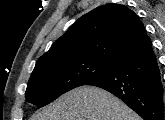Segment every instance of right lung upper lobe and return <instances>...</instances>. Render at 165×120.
<instances>
[{"label": "right lung upper lobe", "mask_w": 165, "mask_h": 120, "mask_svg": "<svg viewBox=\"0 0 165 120\" xmlns=\"http://www.w3.org/2000/svg\"><path fill=\"white\" fill-rule=\"evenodd\" d=\"M151 43L143 23L129 8L106 4L79 18L36 65L71 58L120 63Z\"/></svg>", "instance_id": "cb5924a9"}]
</instances>
